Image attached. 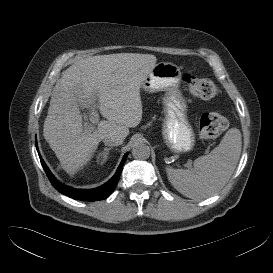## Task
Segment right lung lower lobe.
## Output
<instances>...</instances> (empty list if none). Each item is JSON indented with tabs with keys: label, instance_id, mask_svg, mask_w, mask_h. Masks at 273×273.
Returning <instances> with one entry per match:
<instances>
[{
	"label": "right lung lower lobe",
	"instance_id": "right-lung-lower-lobe-1",
	"mask_svg": "<svg viewBox=\"0 0 273 273\" xmlns=\"http://www.w3.org/2000/svg\"><path fill=\"white\" fill-rule=\"evenodd\" d=\"M36 146H37V142H36ZM127 155H128V153H126L124 155L123 160L121 161L116 173L107 183H105L104 185H102L98 188L88 189V190L87 189H75V188H72V187H69L67 185L60 183L53 176V174L50 172V170L48 169V167L45 164V162L43 161V159H41V164H42L50 182L60 193L67 195L68 197L73 198L75 200L98 201V200H103V199H106L107 197H109V195L115 189V187L119 181L120 174L122 171V166L127 158ZM39 156H40V154H39Z\"/></svg>",
	"mask_w": 273,
	"mask_h": 273
}]
</instances>
